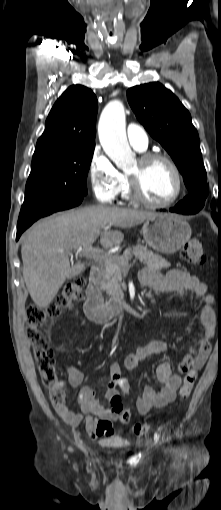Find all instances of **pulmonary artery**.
<instances>
[{"label":"pulmonary artery","mask_w":221,"mask_h":510,"mask_svg":"<svg viewBox=\"0 0 221 510\" xmlns=\"http://www.w3.org/2000/svg\"><path fill=\"white\" fill-rule=\"evenodd\" d=\"M127 138L131 146L138 151L145 150L149 143L147 132L140 125L134 123L127 127Z\"/></svg>","instance_id":"e3ab8cb5"}]
</instances>
